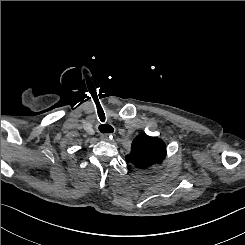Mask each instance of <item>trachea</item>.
I'll return each instance as SVG.
<instances>
[{
  "label": "trachea",
  "mask_w": 245,
  "mask_h": 245,
  "mask_svg": "<svg viewBox=\"0 0 245 245\" xmlns=\"http://www.w3.org/2000/svg\"><path fill=\"white\" fill-rule=\"evenodd\" d=\"M99 118H100V121L102 122L98 127L99 131L101 133H112L114 129L111 125L105 123V115L103 114L101 110L99 111Z\"/></svg>",
  "instance_id": "trachea-1"
}]
</instances>
